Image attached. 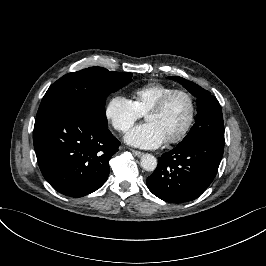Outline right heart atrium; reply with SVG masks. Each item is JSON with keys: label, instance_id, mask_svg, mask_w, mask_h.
I'll use <instances>...</instances> for the list:
<instances>
[{"label": "right heart atrium", "instance_id": "d8ad5b80", "mask_svg": "<svg viewBox=\"0 0 266 266\" xmlns=\"http://www.w3.org/2000/svg\"><path fill=\"white\" fill-rule=\"evenodd\" d=\"M104 116L115 130L124 133L132 128L141 117V113L131 99L121 94H114L106 101Z\"/></svg>", "mask_w": 266, "mask_h": 266}]
</instances>
